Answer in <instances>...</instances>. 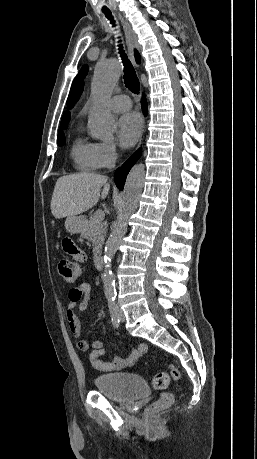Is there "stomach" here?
Returning <instances> with one entry per match:
<instances>
[{"label": "stomach", "instance_id": "stomach-1", "mask_svg": "<svg viewBox=\"0 0 257 459\" xmlns=\"http://www.w3.org/2000/svg\"><path fill=\"white\" fill-rule=\"evenodd\" d=\"M87 221L83 216H69L65 221V228L71 234H79L83 231Z\"/></svg>", "mask_w": 257, "mask_h": 459}]
</instances>
